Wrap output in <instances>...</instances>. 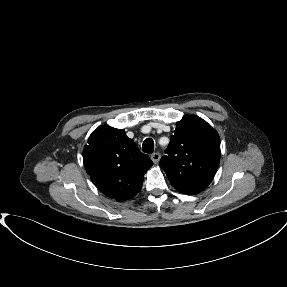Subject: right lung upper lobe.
<instances>
[{
  "mask_svg": "<svg viewBox=\"0 0 287 287\" xmlns=\"http://www.w3.org/2000/svg\"><path fill=\"white\" fill-rule=\"evenodd\" d=\"M86 172L95 186L117 201L133 198L142 187L144 174L153 165L123 129L98 127L83 150Z\"/></svg>",
  "mask_w": 287,
  "mask_h": 287,
  "instance_id": "right-lung-upper-lobe-1",
  "label": "right lung upper lobe"
}]
</instances>
